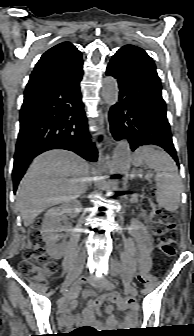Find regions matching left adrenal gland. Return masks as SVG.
I'll list each match as a JSON object with an SVG mask.
<instances>
[{
    "label": "left adrenal gland",
    "mask_w": 194,
    "mask_h": 336,
    "mask_svg": "<svg viewBox=\"0 0 194 336\" xmlns=\"http://www.w3.org/2000/svg\"><path fill=\"white\" fill-rule=\"evenodd\" d=\"M136 176V174L133 172L130 176L131 179H133Z\"/></svg>",
    "instance_id": "obj_1"
}]
</instances>
